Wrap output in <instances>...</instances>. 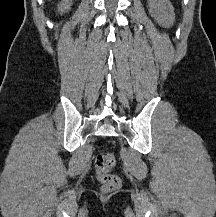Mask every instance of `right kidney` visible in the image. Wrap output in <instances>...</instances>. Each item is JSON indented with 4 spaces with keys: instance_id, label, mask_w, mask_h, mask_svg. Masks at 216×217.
<instances>
[{
    "instance_id": "right-kidney-1",
    "label": "right kidney",
    "mask_w": 216,
    "mask_h": 217,
    "mask_svg": "<svg viewBox=\"0 0 216 217\" xmlns=\"http://www.w3.org/2000/svg\"><path fill=\"white\" fill-rule=\"evenodd\" d=\"M72 4V0H62L58 7V12L65 13L67 12Z\"/></svg>"
}]
</instances>
